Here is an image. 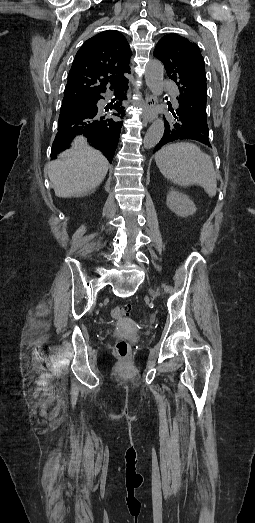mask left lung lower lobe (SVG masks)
<instances>
[{
  "instance_id": "obj_1",
  "label": "left lung lower lobe",
  "mask_w": 255,
  "mask_h": 523,
  "mask_svg": "<svg viewBox=\"0 0 255 523\" xmlns=\"http://www.w3.org/2000/svg\"><path fill=\"white\" fill-rule=\"evenodd\" d=\"M185 112L183 109H175L168 111V114L163 118L165 132L164 137L156 141L158 148H163L165 145H171L173 140H201V145H205L206 149H211L209 128L203 123L194 120L195 115H182Z\"/></svg>"
}]
</instances>
